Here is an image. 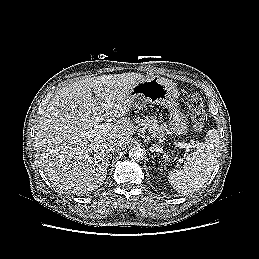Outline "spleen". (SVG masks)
I'll return each instance as SVG.
<instances>
[{"label":"spleen","instance_id":"obj_1","mask_svg":"<svg viewBox=\"0 0 259 259\" xmlns=\"http://www.w3.org/2000/svg\"><path fill=\"white\" fill-rule=\"evenodd\" d=\"M220 134L211 129L206 134L203 149L186 157L183 170L174 169L169 172L168 181L179 193H193L204 186L209 180L217 158L219 157Z\"/></svg>","mask_w":259,"mask_h":259}]
</instances>
